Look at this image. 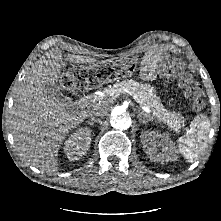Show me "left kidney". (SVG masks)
Segmentation results:
<instances>
[{
	"label": "left kidney",
	"instance_id": "5707ae66",
	"mask_svg": "<svg viewBox=\"0 0 221 221\" xmlns=\"http://www.w3.org/2000/svg\"><path fill=\"white\" fill-rule=\"evenodd\" d=\"M141 138L143 147L151 160L159 162L176 160L175 148L168 136L150 132Z\"/></svg>",
	"mask_w": 221,
	"mask_h": 221
}]
</instances>
